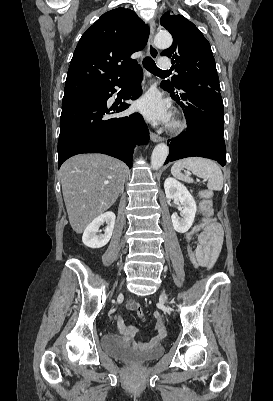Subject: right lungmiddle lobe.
Wrapping results in <instances>:
<instances>
[{
  "instance_id": "1",
  "label": "right lung middle lobe",
  "mask_w": 273,
  "mask_h": 401,
  "mask_svg": "<svg viewBox=\"0 0 273 401\" xmlns=\"http://www.w3.org/2000/svg\"><path fill=\"white\" fill-rule=\"evenodd\" d=\"M90 94H92V93H90ZM90 94L79 95V96H68V97H63L62 106L67 105V104H69V103H71V102H73V101H75V100L80 99V98L86 97V96H88V95H90Z\"/></svg>"
}]
</instances>
